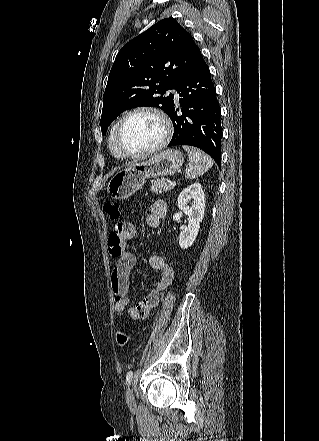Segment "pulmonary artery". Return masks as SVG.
Segmentation results:
<instances>
[{
  "instance_id": "1",
  "label": "pulmonary artery",
  "mask_w": 319,
  "mask_h": 441,
  "mask_svg": "<svg viewBox=\"0 0 319 441\" xmlns=\"http://www.w3.org/2000/svg\"><path fill=\"white\" fill-rule=\"evenodd\" d=\"M170 92L175 96V98L178 97V92L175 89H171Z\"/></svg>"
}]
</instances>
